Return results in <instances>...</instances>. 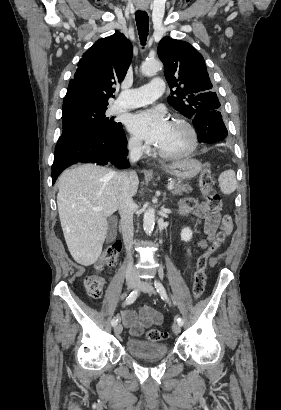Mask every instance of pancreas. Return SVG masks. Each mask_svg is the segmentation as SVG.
Listing matches in <instances>:
<instances>
[{
	"label": "pancreas",
	"instance_id": "obj_1",
	"mask_svg": "<svg viewBox=\"0 0 281 410\" xmlns=\"http://www.w3.org/2000/svg\"><path fill=\"white\" fill-rule=\"evenodd\" d=\"M172 184L174 185V189H172V194L174 195H182L183 193H190L192 191V187L189 184H184L179 180H173Z\"/></svg>",
	"mask_w": 281,
	"mask_h": 410
}]
</instances>
